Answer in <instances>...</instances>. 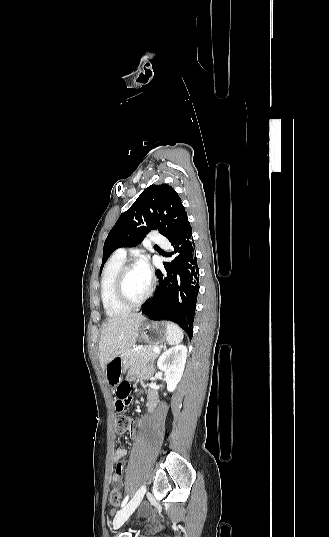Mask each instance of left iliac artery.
<instances>
[{
  "mask_svg": "<svg viewBox=\"0 0 329 537\" xmlns=\"http://www.w3.org/2000/svg\"><path fill=\"white\" fill-rule=\"evenodd\" d=\"M128 500H129V494L123 499L121 507H124L127 504Z\"/></svg>",
  "mask_w": 329,
  "mask_h": 537,
  "instance_id": "44dca946",
  "label": "left iliac artery"
}]
</instances>
